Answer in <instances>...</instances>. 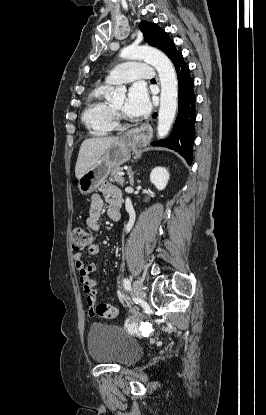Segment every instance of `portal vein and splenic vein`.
I'll return each mask as SVG.
<instances>
[{"instance_id": "1", "label": "portal vein and splenic vein", "mask_w": 266, "mask_h": 415, "mask_svg": "<svg viewBox=\"0 0 266 415\" xmlns=\"http://www.w3.org/2000/svg\"><path fill=\"white\" fill-rule=\"evenodd\" d=\"M119 175H120V176H124V175H125V173H124V172H120V173H119Z\"/></svg>"}]
</instances>
